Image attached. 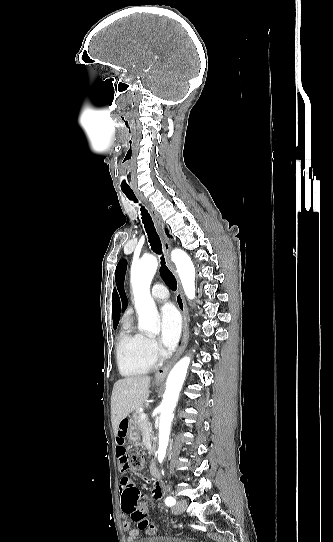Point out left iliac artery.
<instances>
[{"label": "left iliac artery", "instance_id": "44dca946", "mask_svg": "<svg viewBox=\"0 0 333 542\" xmlns=\"http://www.w3.org/2000/svg\"><path fill=\"white\" fill-rule=\"evenodd\" d=\"M175 499L173 497H167L166 500H165V504L167 506H172L175 504Z\"/></svg>", "mask_w": 333, "mask_h": 542}]
</instances>
